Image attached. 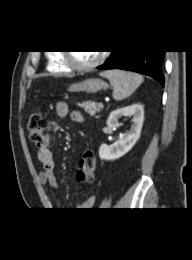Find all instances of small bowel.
I'll use <instances>...</instances> for the list:
<instances>
[{
	"mask_svg": "<svg viewBox=\"0 0 192 260\" xmlns=\"http://www.w3.org/2000/svg\"><path fill=\"white\" fill-rule=\"evenodd\" d=\"M57 112L60 116H66L69 113L67 105L63 102H58L56 106ZM71 117L74 121L82 122L83 117L79 112H71ZM53 138L50 135L44 137L42 143L38 146V160L42 166L39 173V181L41 184H49L51 187H58V179L55 174V161L51 151ZM95 196H90L77 204L78 210H89L95 204Z\"/></svg>",
	"mask_w": 192,
	"mask_h": 260,
	"instance_id": "small-bowel-1",
	"label": "small bowel"
}]
</instances>
